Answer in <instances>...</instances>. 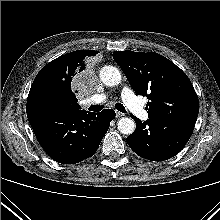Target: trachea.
I'll list each match as a JSON object with an SVG mask.
<instances>
[{
    "mask_svg": "<svg viewBox=\"0 0 220 220\" xmlns=\"http://www.w3.org/2000/svg\"><path fill=\"white\" fill-rule=\"evenodd\" d=\"M103 107H104V106L92 105V106H90V109H91V111H100ZM115 108H116L118 111L122 112V113H125V112H126L125 107H124L121 103H116V104H115Z\"/></svg>",
    "mask_w": 220,
    "mask_h": 220,
    "instance_id": "1",
    "label": "trachea"
}]
</instances>
